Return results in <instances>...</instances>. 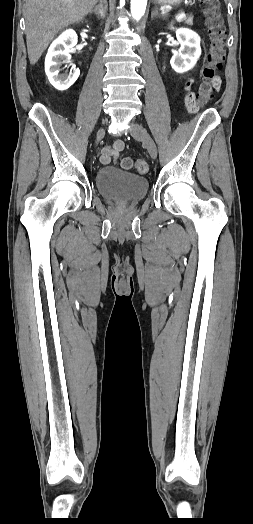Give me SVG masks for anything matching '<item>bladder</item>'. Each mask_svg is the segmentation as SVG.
I'll use <instances>...</instances> for the list:
<instances>
[{
    "label": "bladder",
    "instance_id": "bladder-1",
    "mask_svg": "<svg viewBox=\"0 0 253 524\" xmlns=\"http://www.w3.org/2000/svg\"><path fill=\"white\" fill-rule=\"evenodd\" d=\"M96 187L100 195L109 201L132 204L145 197L149 183L144 176L115 167H103L96 174Z\"/></svg>",
    "mask_w": 253,
    "mask_h": 524
}]
</instances>
